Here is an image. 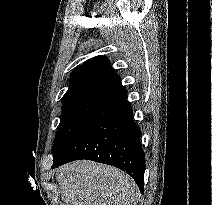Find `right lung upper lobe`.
<instances>
[{
  "label": "right lung upper lobe",
  "instance_id": "cb5924a9",
  "mask_svg": "<svg viewBox=\"0 0 212 205\" xmlns=\"http://www.w3.org/2000/svg\"><path fill=\"white\" fill-rule=\"evenodd\" d=\"M70 81L71 86L63 96L62 103L89 96H102L120 81V77L115 74L108 58L101 55L77 66Z\"/></svg>",
  "mask_w": 212,
  "mask_h": 205
}]
</instances>
